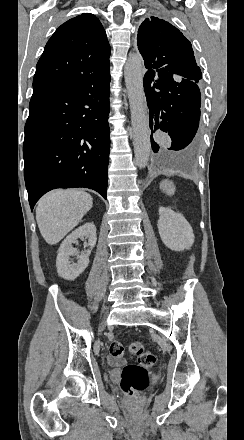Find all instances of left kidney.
<instances>
[{"instance_id": "1", "label": "left kidney", "mask_w": 244, "mask_h": 440, "mask_svg": "<svg viewBox=\"0 0 244 440\" xmlns=\"http://www.w3.org/2000/svg\"><path fill=\"white\" fill-rule=\"evenodd\" d=\"M157 226L163 244L170 250L182 252V250H190L193 246V230L182 214L160 206Z\"/></svg>"}]
</instances>
